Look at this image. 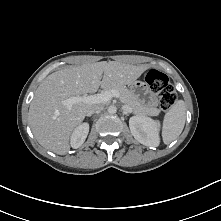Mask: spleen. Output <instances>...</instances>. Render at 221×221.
I'll list each match as a JSON object with an SVG mask.
<instances>
[{
	"label": "spleen",
	"mask_w": 221,
	"mask_h": 221,
	"mask_svg": "<svg viewBox=\"0 0 221 221\" xmlns=\"http://www.w3.org/2000/svg\"><path fill=\"white\" fill-rule=\"evenodd\" d=\"M185 120V103L183 100H177L164 116L162 138L165 144H170L182 133Z\"/></svg>",
	"instance_id": "spleen-1"
}]
</instances>
